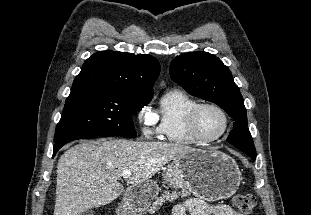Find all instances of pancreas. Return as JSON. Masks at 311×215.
<instances>
[{"label": "pancreas", "instance_id": "pancreas-1", "mask_svg": "<svg viewBox=\"0 0 311 215\" xmlns=\"http://www.w3.org/2000/svg\"><path fill=\"white\" fill-rule=\"evenodd\" d=\"M179 196L186 197L187 192L182 191V193H180L176 191H172V192L165 191L162 194V196L158 197L156 201L153 202L152 207L149 208V213L154 214L156 211L160 209V206H162L166 201L172 202L175 199H177Z\"/></svg>", "mask_w": 311, "mask_h": 215}]
</instances>
